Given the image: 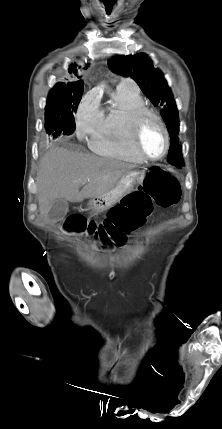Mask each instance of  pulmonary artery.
I'll return each instance as SVG.
<instances>
[{
    "mask_svg": "<svg viewBox=\"0 0 222 429\" xmlns=\"http://www.w3.org/2000/svg\"><path fill=\"white\" fill-rule=\"evenodd\" d=\"M118 87H120V88H135L134 84L128 80L122 81Z\"/></svg>",
    "mask_w": 222,
    "mask_h": 429,
    "instance_id": "pulmonary-artery-1",
    "label": "pulmonary artery"
}]
</instances>
